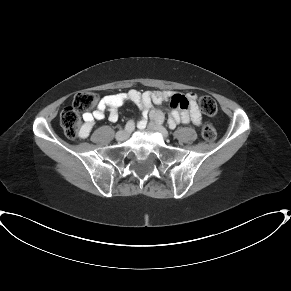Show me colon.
<instances>
[{"label":"colon","mask_w":291,"mask_h":291,"mask_svg":"<svg viewBox=\"0 0 291 291\" xmlns=\"http://www.w3.org/2000/svg\"><path fill=\"white\" fill-rule=\"evenodd\" d=\"M99 96L93 90H85L78 92L72 101V104L64 108L60 113V125L64 129L68 138L76 139L79 137L80 129V114L89 112L98 102ZM172 109H177V101H171ZM199 106L202 111L209 115L215 116L218 111L216 101L209 95L202 96L199 99ZM190 103L183 102L181 108L188 109ZM202 137L205 141H213L216 137V131L210 124L202 126Z\"/></svg>","instance_id":"1"}]
</instances>
